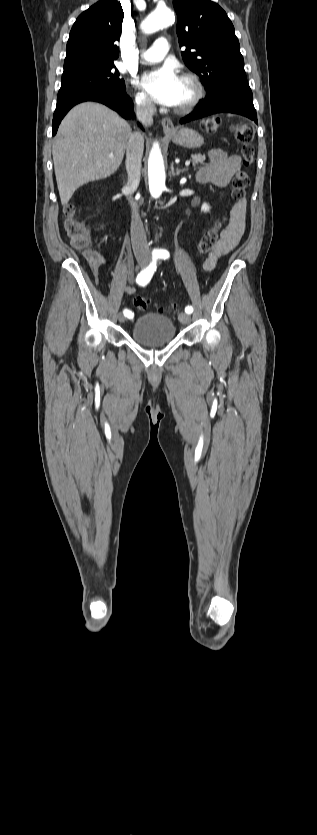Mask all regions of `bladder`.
Here are the masks:
<instances>
[{"label": "bladder", "mask_w": 317, "mask_h": 835, "mask_svg": "<svg viewBox=\"0 0 317 835\" xmlns=\"http://www.w3.org/2000/svg\"><path fill=\"white\" fill-rule=\"evenodd\" d=\"M176 336L173 321L162 314L147 313L139 317L131 330L132 339L145 346L171 342Z\"/></svg>", "instance_id": "obj_1"}]
</instances>
